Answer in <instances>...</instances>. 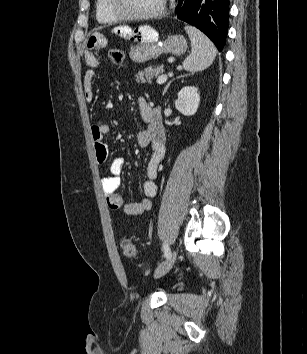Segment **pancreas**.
Masks as SVG:
<instances>
[{
	"label": "pancreas",
	"mask_w": 307,
	"mask_h": 354,
	"mask_svg": "<svg viewBox=\"0 0 307 354\" xmlns=\"http://www.w3.org/2000/svg\"><path fill=\"white\" fill-rule=\"evenodd\" d=\"M164 72L163 65L150 66L136 75V81L141 83H152L153 79Z\"/></svg>",
	"instance_id": "cf45deb5"
}]
</instances>
